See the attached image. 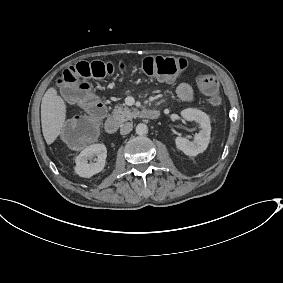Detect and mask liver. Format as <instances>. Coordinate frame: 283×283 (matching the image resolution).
Returning <instances> with one entry per match:
<instances>
[{
	"mask_svg": "<svg viewBox=\"0 0 283 283\" xmlns=\"http://www.w3.org/2000/svg\"><path fill=\"white\" fill-rule=\"evenodd\" d=\"M67 103L56 87H50L41 104L42 132L47 145L53 144L60 136L67 119Z\"/></svg>",
	"mask_w": 283,
	"mask_h": 283,
	"instance_id": "liver-1",
	"label": "liver"
}]
</instances>
